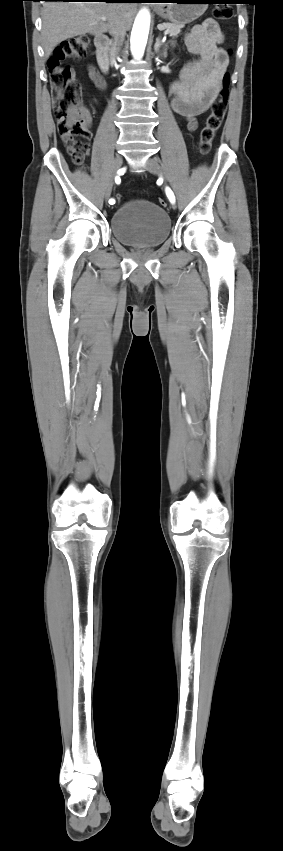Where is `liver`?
Listing matches in <instances>:
<instances>
[{
  "label": "liver",
  "mask_w": 283,
  "mask_h": 851,
  "mask_svg": "<svg viewBox=\"0 0 283 851\" xmlns=\"http://www.w3.org/2000/svg\"><path fill=\"white\" fill-rule=\"evenodd\" d=\"M136 12L131 2H46L42 11V44L45 57L62 41L78 35H101L115 27L129 30ZM106 17L102 21L100 17Z\"/></svg>",
  "instance_id": "1"
}]
</instances>
